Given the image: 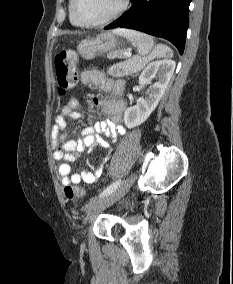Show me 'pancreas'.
<instances>
[{"label":"pancreas","mask_w":233,"mask_h":284,"mask_svg":"<svg viewBox=\"0 0 233 284\" xmlns=\"http://www.w3.org/2000/svg\"><path fill=\"white\" fill-rule=\"evenodd\" d=\"M107 57L108 59H115V58H125L126 56L124 50H116L108 53ZM146 62H147L146 59H141L135 56L132 59H128L124 64L128 65V71L130 73H133L141 69L146 64Z\"/></svg>","instance_id":"pancreas-1"}]
</instances>
